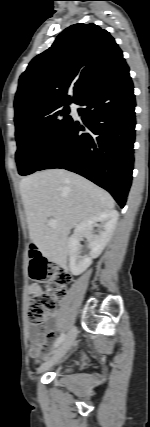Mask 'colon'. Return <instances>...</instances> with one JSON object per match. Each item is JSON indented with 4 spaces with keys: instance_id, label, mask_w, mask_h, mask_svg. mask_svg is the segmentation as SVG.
<instances>
[{
    "instance_id": "obj_1",
    "label": "colon",
    "mask_w": 150,
    "mask_h": 427,
    "mask_svg": "<svg viewBox=\"0 0 150 427\" xmlns=\"http://www.w3.org/2000/svg\"><path fill=\"white\" fill-rule=\"evenodd\" d=\"M29 262L30 276L35 282L28 290L27 316L30 323L43 324L56 313L71 276L63 267L45 258L34 244L29 249ZM38 282H46L48 289L43 290Z\"/></svg>"
}]
</instances>
